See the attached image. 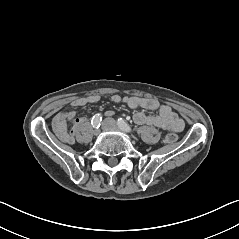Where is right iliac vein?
Instances as JSON below:
<instances>
[{
	"mask_svg": "<svg viewBox=\"0 0 239 239\" xmlns=\"http://www.w3.org/2000/svg\"><path fill=\"white\" fill-rule=\"evenodd\" d=\"M110 128V125H109V123H107V122H103L102 123V130L103 131H107L108 129ZM98 132L96 131V134H97Z\"/></svg>",
	"mask_w": 239,
	"mask_h": 239,
	"instance_id": "1",
	"label": "right iliac vein"
}]
</instances>
